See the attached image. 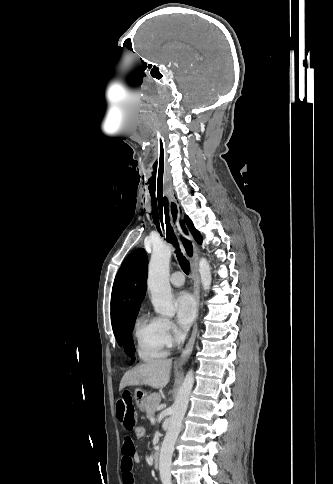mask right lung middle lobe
<instances>
[{
  "instance_id": "1",
  "label": "right lung middle lobe",
  "mask_w": 333,
  "mask_h": 484,
  "mask_svg": "<svg viewBox=\"0 0 333 484\" xmlns=\"http://www.w3.org/2000/svg\"><path fill=\"white\" fill-rule=\"evenodd\" d=\"M137 313L138 312L130 314L118 325L116 329H113L119 346H124L127 354L131 357V363H133L134 361V343L132 339V329Z\"/></svg>"
}]
</instances>
